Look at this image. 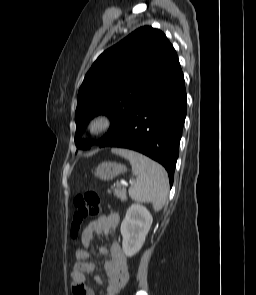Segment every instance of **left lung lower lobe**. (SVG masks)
<instances>
[{"instance_id":"0a47b994","label":"left lung lower lobe","mask_w":256,"mask_h":295,"mask_svg":"<svg viewBox=\"0 0 256 295\" xmlns=\"http://www.w3.org/2000/svg\"><path fill=\"white\" fill-rule=\"evenodd\" d=\"M185 117V82L179 65L98 145L127 148L152 158L165 167L172 186Z\"/></svg>"}]
</instances>
